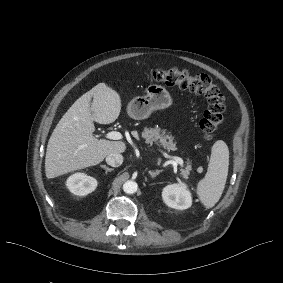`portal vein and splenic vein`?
Listing matches in <instances>:
<instances>
[{
  "instance_id": "portal-vein-and-splenic-vein-1",
  "label": "portal vein and splenic vein",
  "mask_w": 283,
  "mask_h": 283,
  "mask_svg": "<svg viewBox=\"0 0 283 283\" xmlns=\"http://www.w3.org/2000/svg\"><path fill=\"white\" fill-rule=\"evenodd\" d=\"M107 138L112 139V140H119V139L122 138V134L120 132H117V131H111V132L107 133ZM163 155L166 158H170V156L165 152H163ZM173 159L176 163V166H177V164L183 165V159L182 158L174 156Z\"/></svg>"
}]
</instances>
